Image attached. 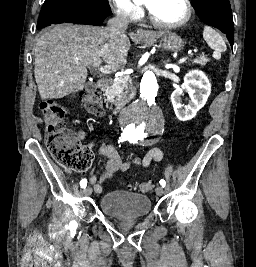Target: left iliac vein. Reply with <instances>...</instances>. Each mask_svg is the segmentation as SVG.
<instances>
[{"instance_id":"obj_1","label":"left iliac vein","mask_w":256,"mask_h":267,"mask_svg":"<svg viewBox=\"0 0 256 267\" xmlns=\"http://www.w3.org/2000/svg\"><path fill=\"white\" fill-rule=\"evenodd\" d=\"M156 194H157L158 196H161V195L164 194V189H163L162 186H157V187H156Z\"/></svg>"}]
</instances>
